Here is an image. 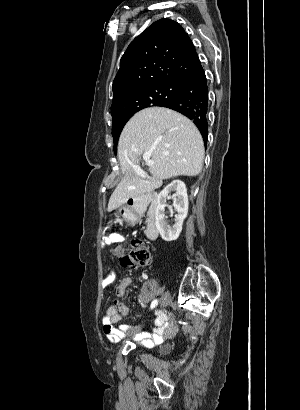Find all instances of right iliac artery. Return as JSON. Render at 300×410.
Instances as JSON below:
<instances>
[{
    "label": "right iliac artery",
    "mask_w": 300,
    "mask_h": 410,
    "mask_svg": "<svg viewBox=\"0 0 300 410\" xmlns=\"http://www.w3.org/2000/svg\"><path fill=\"white\" fill-rule=\"evenodd\" d=\"M158 305V300L155 299L154 301H152L150 308L153 309Z\"/></svg>",
    "instance_id": "obj_1"
}]
</instances>
